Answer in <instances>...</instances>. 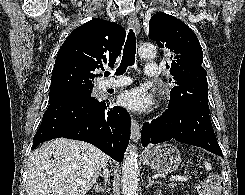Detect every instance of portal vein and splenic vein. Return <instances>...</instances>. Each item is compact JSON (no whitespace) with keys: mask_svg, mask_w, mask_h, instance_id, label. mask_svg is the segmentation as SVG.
<instances>
[{"mask_svg":"<svg viewBox=\"0 0 245 195\" xmlns=\"http://www.w3.org/2000/svg\"><path fill=\"white\" fill-rule=\"evenodd\" d=\"M169 181L171 182H177V181H188V177L187 176H175L169 179Z\"/></svg>","mask_w":245,"mask_h":195,"instance_id":"18ae733b","label":"portal vein and splenic vein"}]
</instances>
